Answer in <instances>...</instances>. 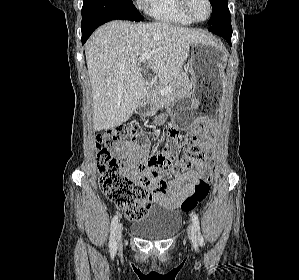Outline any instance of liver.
I'll use <instances>...</instances> for the list:
<instances>
[{"instance_id":"liver-1","label":"liver","mask_w":299,"mask_h":280,"mask_svg":"<svg viewBox=\"0 0 299 280\" xmlns=\"http://www.w3.org/2000/svg\"><path fill=\"white\" fill-rule=\"evenodd\" d=\"M211 41L204 33L168 23L115 20L98 28L85 46L93 97L95 131L126 122L143 105L147 91L139 58L153 51L148 67L160 81L178 79L192 43Z\"/></svg>"}]
</instances>
